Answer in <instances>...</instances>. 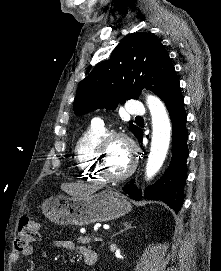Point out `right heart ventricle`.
<instances>
[{
    "label": "right heart ventricle",
    "instance_id": "1",
    "mask_svg": "<svg viewBox=\"0 0 221 271\" xmlns=\"http://www.w3.org/2000/svg\"><path fill=\"white\" fill-rule=\"evenodd\" d=\"M105 136L106 134L103 132H96L78 138L76 143L78 158H76L75 163L79 164L78 175L81 176V179H92L93 183L104 182L99 171H96L97 166L94 163V158H98V155H94L93 152L97 150V145L101 144Z\"/></svg>",
    "mask_w": 221,
    "mask_h": 271
}]
</instances>
